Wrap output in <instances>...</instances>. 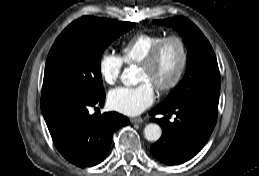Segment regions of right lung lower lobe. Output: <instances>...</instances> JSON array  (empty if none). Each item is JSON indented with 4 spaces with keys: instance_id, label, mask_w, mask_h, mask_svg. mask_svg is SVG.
<instances>
[{
    "instance_id": "right-lung-lower-lobe-1",
    "label": "right lung lower lobe",
    "mask_w": 259,
    "mask_h": 176,
    "mask_svg": "<svg viewBox=\"0 0 259 176\" xmlns=\"http://www.w3.org/2000/svg\"><path fill=\"white\" fill-rule=\"evenodd\" d=\"M105 92L82 96L59 92L42 94L41 110L52 140L62 156L78 167L94 166L107 155L113 133L129 119L116 112L89 114L102 106Z\"/></svg>"
}]
</instances>
